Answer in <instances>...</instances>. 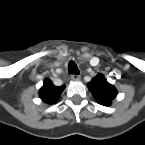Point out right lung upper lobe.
I'll return each mask as SVG.
<instances>
[{
  "label": "right lung upper lobe",
  "instance_id": "right-lung-upper-lobe-1",
  "mask_svg": "<svg viewBox=\"0 0 145 145\" xmlns=\"http://www.w3.org/2000/svg\"><path fill=\"white\" fill-rule=\"evenodd\" d=\"M64 88L65 85L57 87L50 80L46 79L39 92L40 98L47 104H53L59 99Z\"/></svg>",
  "mask_w": 145,
  "mask_h": 145
}]
</instances>
